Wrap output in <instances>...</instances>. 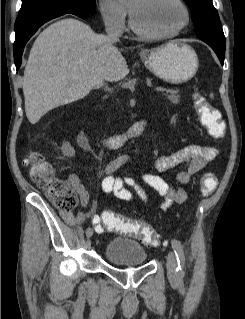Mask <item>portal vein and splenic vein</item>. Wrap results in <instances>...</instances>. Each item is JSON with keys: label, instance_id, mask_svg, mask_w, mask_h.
I'll use <instances>...</instances> for the list:
<instances>
[{"label": "portal vein and splenic vein", "instance_id": "18ae733b", "mask_svg": "<svg viewBox=\"0 0 245 319\" xmlns=\"http://www.w3.org/2000/svg\"><path fill=\"white\" fill-rule=\"evenodd\" d=\"M106 89L107 90H111V89H109L108 87H106ZM166 91H169V89L168 88H166V87H156L155 88V92L156 93H161V92H166Z\"/></svg>", "mask_w": 245, "mask_h": 319}]
</instances>
